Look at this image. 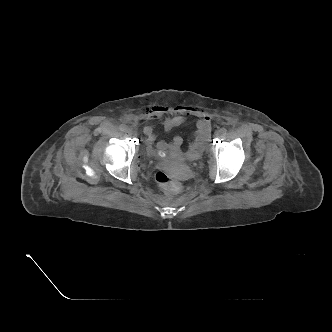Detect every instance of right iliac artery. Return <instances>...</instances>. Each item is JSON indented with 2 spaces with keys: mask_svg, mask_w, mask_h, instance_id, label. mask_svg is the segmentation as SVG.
Listing matches in <instances>:
<instances>
[{
  "mask_svg": "<svg viewBox=\"0 0 332 332\" xmlns=\"http://www.w3.org/2000/svg\"><path fill=\"white\" fill-rule=\"evenodd\" d=\"M119 129L121 130V131H126L127 130V127L125 126V125H120V127H119Z\"/></svg>",
  "mask_w": 332,
  "mask_h": 332,
  "instance_id": "1",
  "label": "right iliac artery"
}]
</instances>
